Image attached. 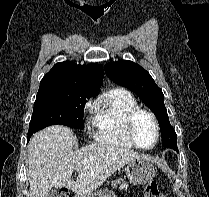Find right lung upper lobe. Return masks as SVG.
I'll list each match as a JSON object with an SVG mask.
<instances>
[{"label":"right lung upper lobe","mask_w":209,"mask_h":197,"mask_svg":"<svg viewBox=\"0 0 209 197\" xmlns=\"http://www.w3.org/2000/svg\"><path fill=\"white\" fill-rule=\"evenodd\" d=\"M103 77L104 70L100 64L77 65L64 61L55 64L40 84L77 85L96 93L103 83Z\"/></svg>","instance_id":"right-lung-upper-lobe-1"}]
</instances>
